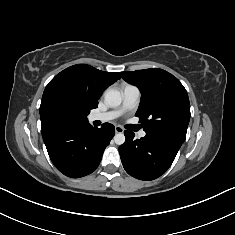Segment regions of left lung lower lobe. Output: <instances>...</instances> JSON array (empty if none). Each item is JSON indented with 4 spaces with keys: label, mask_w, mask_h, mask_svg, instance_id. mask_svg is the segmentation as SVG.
I'll return each mask as SVG.
<instances>
[{
    "label": "left lung lower lobe",
    "mask_w": 235,
    "mask_h": 235,
    "mask_svg": "<svg viewBox=\"0 0 235 235\" xmlns=\"http://www.w3.org/2000/svg\"><path fill=\"white\" fill-rule=\"evenodd\" d=\"M126 141L119 147L126 172L140 180H154L164 174L174 161L182 142L153 133L134 139V133L124 131Z\"/></svg>",
    "instance_id": "left-lung-lower-lobe-1"
}]
</instances>
